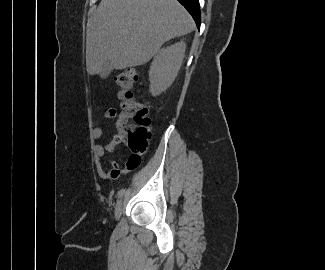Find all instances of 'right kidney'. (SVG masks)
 Listing matches in <instances>:
<instances>
[{"instance_id":"1","label":"right kidney","mask_w":325,"mask_h":270,"mask_svg":"<svg viewBox=\"0 0 325 270\" xmlns=\"http://www.w3.org/2000/svg\"><path fill=\"white\" fill-rule=\"evenodd\" d=\"M186 44L181 41L161 52L155 57L150 70V92L153 96L164 92L176 78L185 55Z\"/></svg>"}]
</instances>
